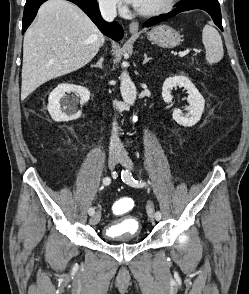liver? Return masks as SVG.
Segmentation results:
<instances>
[{
	"label": "liver",
	"mask_w": 249,
	"mask_h": 294,
	"mask_svg": "<svg viewBox=\"0 0 249 294\" xmlns=\"http://www.w3.org/2000/svg\"><path fill=\"white\" fill-rule=\"evenodd\" d=\"M103 42L78 6L65 0L45 2L24 36L21 99L43 83L84 67Z\"/></svg>",
	"instance_id": "liver-1"
}]
</instances>
